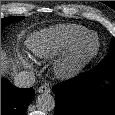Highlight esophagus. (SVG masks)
I'll list each match as a JSON object with an SVG mask.
<instances>
[{
  "instance_id": "1",
  "label": "esophagus",
  "mask_w": 115,
  "mask_h": 115,
  "mask_svg": "<svg viewBox=\"0 0 115 115\" xmlns=\"http://www.w3.org/2000/svg\"><path fill=\"white\" fill-rule=\"evenodd\" d=\"M37 91L39 93H49L51 90L48 85H41Z\"/></svg>"
}]
</instances>
